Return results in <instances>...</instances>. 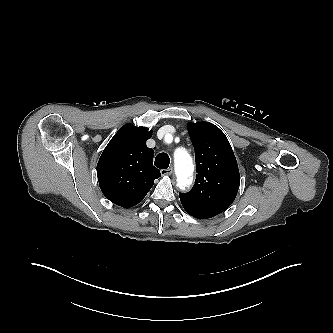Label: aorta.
<instances>
[{
	"label": "aorta",
	"mask_w": 333,
	"mask_h": 333,
	"mask_svg": "<svg viewBox=\"0 0 333 333\" xmlns=\"http://www.w3.org/2000/svg\"><path fill=\"white\" fill-rule=\"evenodd\" d=\"M175 169L177 177L181 185L190 183V176L193 172V163L189 154L183 150L178 149L174 155Z\"/></svg>",
	"instance_id": "1"
}]
</instances>
